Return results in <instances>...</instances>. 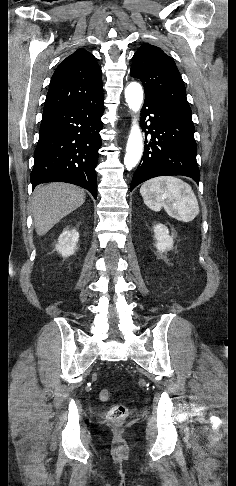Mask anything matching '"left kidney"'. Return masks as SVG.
<instances>
[{"mask_svg": "<svg viewBox=\"0 0 236 486\" xmlns=\"http://www.w3.org/2000/svg\"><path fill=\"white\" fill-rule=\"evenodd\" d=\"M154 235L156 242V248L159 252L163 253L173 248V234L169 235L168 228L163 224L154 225Z\"/></svg>", "mask_w": 236, "mask_h": 486, "instance_id": "left-kidney-1", "label": "left kidney"}]
</instances>
